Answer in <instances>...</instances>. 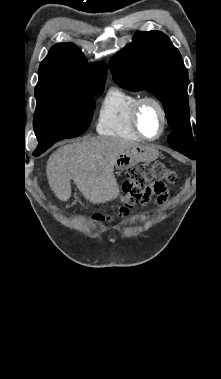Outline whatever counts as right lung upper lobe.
Instances as JSON below:
<instances>
[{
  "instance_id": "obj_1",
  "label": "right lung upper lobe",
  "mask_w": 221,
  "mask_h": 379,
  "mask_svg": "<svg viewBox=\"0 0 221 379\" xmlns=\"http://www.w3.org/2000/svg\"><path fill=\"white\" fill-rule=\"evenodd\" d=\"M107 66L89 64L73 43L54 45L39 67L35 97L104 86Z\"/></svg>"
}]
</instances>
